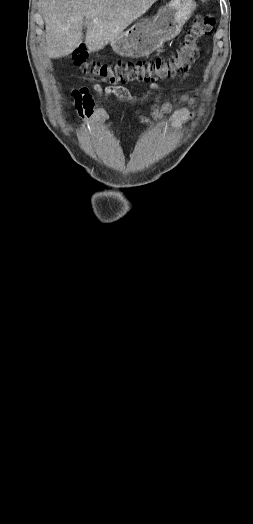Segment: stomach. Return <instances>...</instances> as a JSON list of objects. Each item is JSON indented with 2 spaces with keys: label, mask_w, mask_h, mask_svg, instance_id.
I'll use <instances>...</instances> for the list:
<instances>
[{
  "label": "stomach",
  "mask_w": 253,
  "mask_h": 524,
  "mask_svg": "<svg viewBox=\"0 0 253 524\" xmlns=\"http://www.w3.org/2000/svg\"><path fill=\"white\" fill-rule=\"evenodd\" d=\"M194 0H172L161 8L152 21H139L109 40L113 51L124 57L148 56L165 41L175 38L192 16Z\"/></svg>",
  "instance_id": "0dacf381"
}]
</instances>
